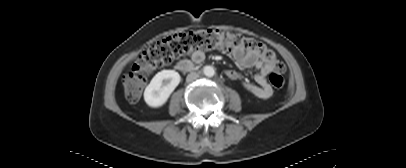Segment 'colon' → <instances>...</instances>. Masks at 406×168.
<instances>
[{
    "label": "colon",
    "instance_id": "colon-1",
    "mask_svg": "<svg viewBox=\"0 0 406 168\" xmlns=\"http://www.w3.org/2000/svg\"><path fill=\"white\" fill-rule=\"evenodd\" d=\"M215 48L228 52L253 51L257 53L265 62L274 65L273 70L269 73L271 85L276 89H280L284 85L282 76L284 65L275 59L274 52L264 43L221 29H197L168 36L145 50L131 71L123 77L127 99L130 102H136L140 98L146 83V75L155 69L165 67L173 60L192 52Z\"/></svg>",
    "mask_w": 406,
    "mask_h": 168
}]
</instances>
